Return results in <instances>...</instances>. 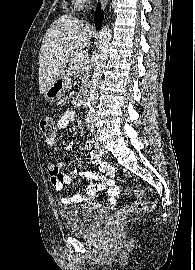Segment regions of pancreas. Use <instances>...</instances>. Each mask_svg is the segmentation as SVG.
<instances>
[{"instance_id":"pancreas-1","label":"pancreas","mask_w":195,"mask_h":270,"mask_svg":"<svg viewBox=\"0 0 195 270\" xmlns=\"http://www.w3.org/2000/svg\"><path fill=\"white\" fill-rule=\"evenodd\" d=\"M89 64L87 61H79L75 58L74 54L69 59V73L73 77H77L81 80L83 87L89 81Z\"/></svg>"}]
</instances>
